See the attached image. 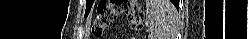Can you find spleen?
Here are the masks:
<instances>
[{"label":"spleen","instance_id":"1","mask_svg":"<svg viewBox=\"0 0 249 39\" xmlns=\"http://www.w3.org/2000/svg\"><path fill=\"white\" fill-rule=\"evenodd\" d=\"M146 25L150 39H169L175 11L167 0H147Z\"/></svg>","mask_w":249,"mask_h":39}]
</instances>
